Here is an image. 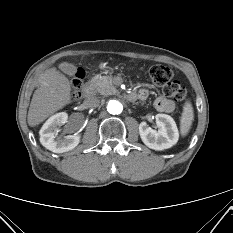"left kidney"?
Segmentation results:
<instances>
[{"mask_svg":"<svg viewBox=\"0 0 233 233\" xmlns=\"http://www.w3.org/2000/svg\"><path fill=\"white\" fill-rule=\"evenodd\" d=\"M155 120L158 131L149 127L146 122L140 123L139 134L143 143L158 151L171 148L179 139V132L174 119L167 114H157Z\"/></svg>","mask_w":233,"mask_h":233,"instance_id":"5707ae66","label":"left kidney"}]
</instances>
